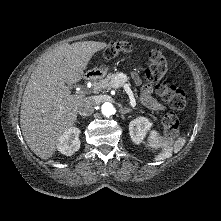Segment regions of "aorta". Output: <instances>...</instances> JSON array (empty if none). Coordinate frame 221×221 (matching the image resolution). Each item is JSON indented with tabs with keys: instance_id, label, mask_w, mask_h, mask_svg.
I'll list each match as a JSON object with an SVG mask.
<instances>
[{
	"instance_id": "obj_1",
	"label": "aorta",
	"mask_w": 221,
	"mask_h": 221,
	"mask_svg": "<svg viewBox=\"0 0 221 221\" xmlns=\"http://www.w3.org/2000/svg\"><path fill=\"white\" fill-rule=\"evenodd\" d=\"M101 112L105 116H110V115H112L114 113V107H113V105L111 103L105 102L101 106Z\"/></svg>"
}]
</instances>
